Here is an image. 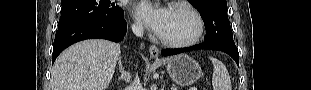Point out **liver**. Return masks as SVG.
<instances>
[{
    "mask_svg": "<svg viewBox=\"0 0 311 90\" xmlns=\"http://www.w3.org/2000/svg\"><path fill=\"white\" fill-rule=\"evenodd\" d=\"M120 45L84 40L64 50L51 72L52 90H106L112 80Z\"/></svg>",
    "mask_w": 311,
    "mask_h": 90,
    "instance_id": "liver-1",
    "label": "liver"
}]
</instances>
